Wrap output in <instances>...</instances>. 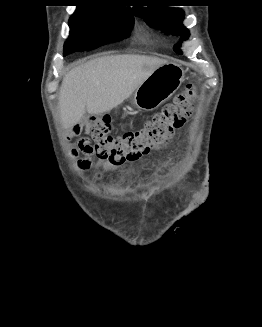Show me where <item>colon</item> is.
<instances>
[{
  "instance_id": "5ec220e1",
  "label": "colon",
  "mask_w": 262,
  "mask_h": 327,
  "mask_svg": "<svg viewBox=\"0 0 262 327\" xmlns=\"http://www.w3.org/2000/svg\"><path fill=\"white\" fill-rule=\"evenodd\" d=\"M196 99L195 88L188 85L172 103L146 120L141 129L120 135L112 134L108 116H90L84 125L87 137L79 142V150L113 166L135 161L172 138L191 116Z\"/></svg>"
}]
</instances>
